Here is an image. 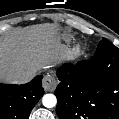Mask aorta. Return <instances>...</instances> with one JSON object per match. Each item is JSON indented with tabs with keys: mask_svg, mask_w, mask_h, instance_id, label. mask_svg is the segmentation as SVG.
Returning <instances> with one entry per match:
<instances>
[{
	"mask_svg": "<svg viewBox=\"0 0 119 119\" xmlns=\"http://www.w3.org/2000/svg\"><path fill=\"white\" fill-rule=\"evenodd\" d=\"M42 103L47 108H52L56 105L57 99L53 94H45L42 98Z\"/></svg>",
	"mask_w": 119,
	"mask_h": 119,
	"instance_id": "762f6f07",
	"label": "aorta"
}]
</instances>
